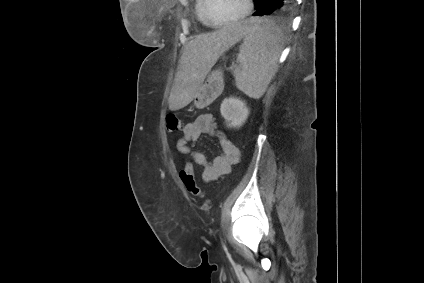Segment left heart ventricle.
<instances>
[{
    "instance_id": "left-heart-ventricle-1",
    "label": "left heart ventricle",
    "mask_w": 424,
    "mask_h": 283,
    "mask_svg": "<svg viewBox=\"0 0 424 283\" xmlns=\"http://www.w3.org/2000/svg\"><path fill=\"white\" fill-rule=\"evenodd\" d=\"M246 8V0H211L209 15L212 21L221 23L241 15Z\"/></svg>"
}]
</instances>
